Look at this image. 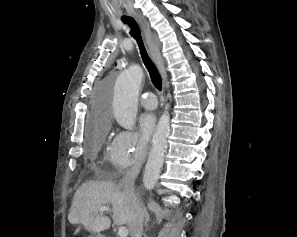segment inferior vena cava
Instances as JSON below:
<instances>
[{"mask_svg": "<svg viewBox=\"0 0 297 237\" xmlns=\"http://www.w3.org/2000/svg\"><path fill=\"white\" fill-rule=\"evenodd\" d=\"M139 167L134 166L128 170L120 180L118 186L125 194L130 208L128 229L131 237H141L143 233V219L146 215V208L139 200L134 191V182L139 174Z\"/></svg>", "mask_w": 297, "mask_h": 237, "instance_id": "1", "label": "inferior vena cava"}]
</instances>
